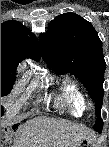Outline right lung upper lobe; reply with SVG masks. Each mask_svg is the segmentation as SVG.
I'll list each match as a JSON object with an SVG mask.
<instances>
[{"label": "right lung upper lobe", "instance_id": "1", "mask_svg": "<svg viewBox=\"0 0 109 147\" xmlns=\"http://www.w3.org/2000/svg\"><path fill=\"white\" fill-rule=\"evenodd\" d=\"M18 21L10 20L1 24V66L15 67L25 58L40 59L38 41Z\"/></svg>", "mask_w": 109, "mask_h": 147}]
</instances>
